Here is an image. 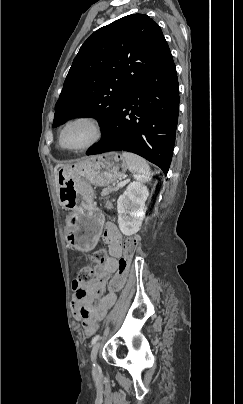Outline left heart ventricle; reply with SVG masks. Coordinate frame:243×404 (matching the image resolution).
Returning <instances> with one entry per match:
<instances>
[{
  "mask_svg": "<svg viewBox=\"0 0 243 404\" xmlns=\"http://www.w3.org/2000/svg\"><path fill=\"white\" fill-rule=\"evenodd\" d=\"M95 130L89 121L79 120L71 123L63 133V144L69 148H79L90 143Z\"/></svg>",
  "mask_w": 243,
  "mask_h": 404,
  "instance_id": "left-heart-ventricle-1",
  "label": "left heart ventricle"
}]
</instances>
